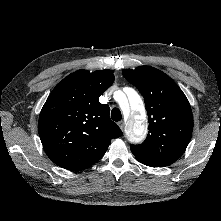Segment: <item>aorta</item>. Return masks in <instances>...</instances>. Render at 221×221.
I'll list each match as a JSON object with an SVG mask.
<instances>
[{"label":"aorta","mask_w":221,"mask_h":221,"mask_svg":"<svg viewBox=\"0 0 221 221\" xmlns=\"http://www.w3.org/2000/svg\"><path fill=\"white\" fill-rule=\"evenodd\" d=\"M129 104L134 115L129 120L127 137L131 142H138L145 137L147 124L143 101L139 94L133 89L130 90L128 99L123 96L119 101V105L125 114H129Z\"/></svg>","instance_id":"1"}]
</instances>
